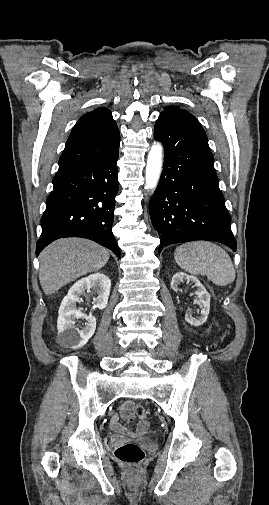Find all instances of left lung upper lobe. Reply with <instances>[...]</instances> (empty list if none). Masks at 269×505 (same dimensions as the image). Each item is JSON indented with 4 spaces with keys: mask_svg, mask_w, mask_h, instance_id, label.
<instances>
[{
    "mask_svg": "<svg viewBox=\"0 0 269 505\" xmlns=\"http://www.w3.org/2000/svg\"><path fill=\"white\" fill-rule=\"evenodd\" d=\"M180 113L190 114L189 112L179 109L177 107L167 106L160 115H170V114H180Z\"/></svg>",
    "mask_w": 269,
    "mask_h": 505,
    "instance_id": "1",
    "label": "left lung upper lobe"
}]
</instances>
